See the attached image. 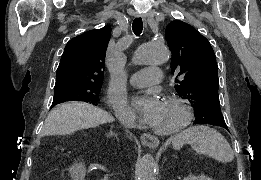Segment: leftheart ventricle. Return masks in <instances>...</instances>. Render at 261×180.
Listing matches in <instances>:
<instances>
[{
  "label": "left heart ventricle",
  "mask_w": 261,
  "mask_h": 180,
  "mask_svg": "<svg viewBox=\"0 0 261 180\" xmlns=\"http://www.w3.org/2000/svg\"><path fill=\"white\" fill-rule=\"evenodd\" d=\"M181 106L171 100L164 99L161 106L148 123L150 127L157 131L172 130L181 117Z\"/></svg>",
  "instance_id": "b2bd125f"
}]
</instances>
